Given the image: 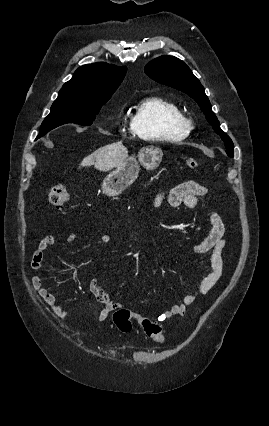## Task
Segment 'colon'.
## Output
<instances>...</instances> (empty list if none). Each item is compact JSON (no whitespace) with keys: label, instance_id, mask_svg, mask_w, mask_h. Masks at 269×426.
Returning a JSON list of instances; mask_svg holds the SVG:
<instances>
[{"label":"colon","instance_id":"obj_1","mask_svg":"<svg viewBox=\"0 0 269 426\" xmlns=\"http://www.w3.org/2000/svg\"><path fill=\"white\" fill-rule=\"evenodd\" d=\"M186 165L191 169H197L198 162L195 158L187 157ZM50 203L59 211L63 212L68 201V194L62 183L54 185L48 194ZM134 314L126 308L117 309L113 314V322L118 330L129 332L132 329ZM141 326L146 336L155 343H163L165 336L159 324L151 322L147 318L140 319Z\"/></svg>","mask_w":269,"mask_h":426}]
</instances>
